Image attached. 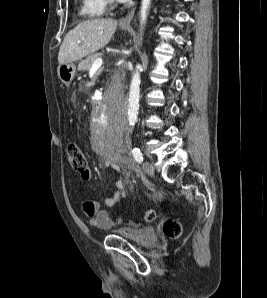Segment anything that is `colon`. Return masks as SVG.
<instances>
[{
  "label": "colon",
  "instance_id": "1",
  "mask_svg": "<svg viewBox=\"0 0 267 298\" xmlns=\"http://www.w3.org/2000/svg\"><path fill=\"white\" fill-rule=\"evenodd\" d=\"M66 155L71 167L78 172L81 177H86L89 171L88 162L79 145L74 142H69L66 147ZM155 218L156 212L152 209L147 210L143 215L144 222H151ZM181 231V224L178 220L169 218L164 221L163 232L167 237L177 238L180 236Z\"/></svg>",
  "mask_w": 267,
  "mask_h": 298
}]
</instances>
